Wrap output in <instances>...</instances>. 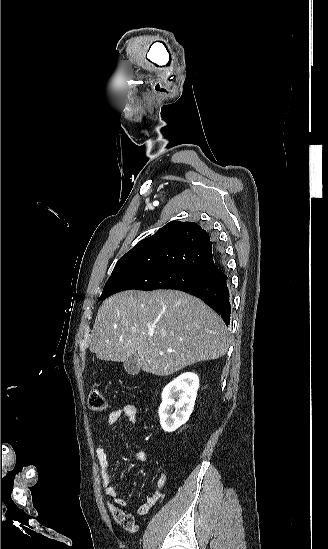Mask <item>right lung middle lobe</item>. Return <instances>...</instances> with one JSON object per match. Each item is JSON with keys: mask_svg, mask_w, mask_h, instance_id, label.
Instances as JSON below:
<instances>
[{"mask_svg": "<svg viewBox=\"0 0 328 549\" xmlns=\"http://www.w3.org/2000/svg\"><path fill=\"white\" fill-rule=\"evenodd\" d=\"M207 278L196 272L171 267L131 266L112 272L99 300L128 289L151 291L177 289L199 283Z\"/></svg>", "mask_w": 328, "mask_h": 549, "instance_id": "1", "label": "right lung middle lobe"}]
</instances>
